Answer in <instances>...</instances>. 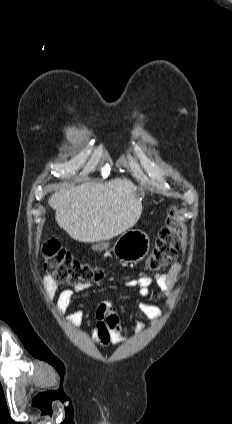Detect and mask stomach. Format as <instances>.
<instances>
[{"label":"stomach","instance_id":"stomach-1","mask_svg":"<svg viewBox=\"0 0 232 424\" xmlns=\"http://www.w3.org/2000/svg\"><path fill=\"white\" fill-rule=\"evenodd\" d=\"M142 194V191H139ZM109 242H100L92 246L93 250L104 251L109 248ZM150 240L148 235L140 230L124 232L115 242L112 250L117 258L124 262L142 260L149 251Z\"/></svg>","mask_w":232,"mask_h":424}]
</instances>
